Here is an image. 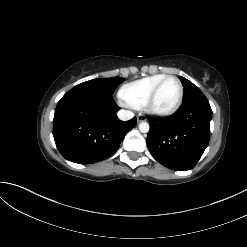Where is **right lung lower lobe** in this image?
Returning a JSON list of instances; mask_svg holds the SVG:
<instances>
[{"label": "right lung lower lobe", "mask_w": 247, "mask_h": 247, "mask_svg": "<svg viewBox=\"0 0 247 247\" xmlns=\"http://www.w3.org/2000/svg\"><path fill=\"white\" fill-rule=\"evenodd\" d=\"M112 95L97 90L71 89L58 102L53 136L62 156L91 164L114 154L137 118L121 121Z\"/></svg>", "instance_id": "right-lung-lower-lobe-1"}]
</instances>
